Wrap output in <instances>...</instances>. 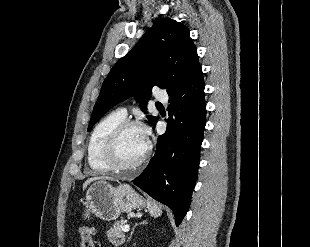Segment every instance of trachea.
<instances>
[{
  "label": "trachea",
  "instance_id": "1",
  "mask_svg": "<svg viewBox=\"0 0 310 247\" xmlns=\"http://www.w3.org/2000/svg\"><path fill=\"white\" fill-rule=\"evenodd\" d=\"M157 105H161V103H157Z\"/></svg>",
  "mask_w": 310,
  "mask_h": 247
}]
</instances>
